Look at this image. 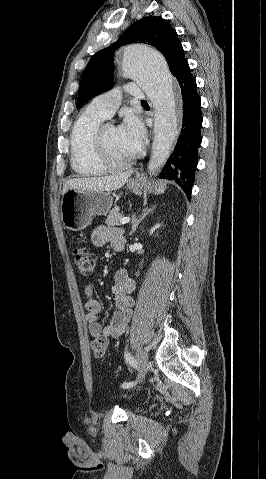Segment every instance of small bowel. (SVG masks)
Here are the masks:
<instances>
[{
    "label": "small bowel",
    "mask_w": 266,
    "mask_h": 479,
    "mask_svg": "<svg viewBox=\"0 0 266 479\" xmlns=\"http://www.w3.org/2000/svg\"><path fill=\"white\" fill-rule=\"evenodd\" d=\"M91 241L97 247L110 243L113 248L117 245L122 250L125 246V238L121 230L112 226H99L94 229L91 234ZM135 289V281L128 276L126 270L121 269L115 274L112 288L115 310L110 323L104 327L101 324L102 305L98 299L93 297L92 287L89 285L85 287L87 297L85 305L86 320L92 337L118 338L124 333L132 316Z\"/></svg>",
    "instance_id": "1"
}]
</instances>
